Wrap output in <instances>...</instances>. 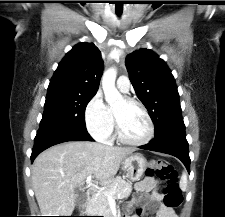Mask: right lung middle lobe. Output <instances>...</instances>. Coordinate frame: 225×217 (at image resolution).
<instances>
[{"label": "right lung middle lobe", "instance_id": "obj_1", "mask_svg": "<svg viewBox=\"0 0 225 217\" xmlns=\"http://www.w3.org/2000/svg\"><path fill=\"white\" fill-rule=\"evenodd\" d=\"M94 95L47 93L40 125L52 124L86 131L85 108Z\"/></svg>", "mask_w": 225, "mask_h": 217}]
</instances>
